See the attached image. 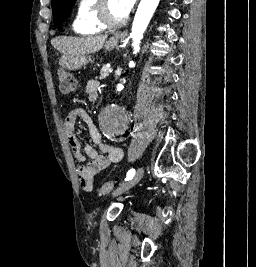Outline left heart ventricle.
Here are the masks:
<instances>
[{"mask_svg":"<svg viewBox=\"0 0 256 267\" xmlns=\"http://www.w3.org/2000/svg\"><path fill=\"white\" fill-rule=\"evenodd\" d=\"M109 22L113 26H117L121 20V16L114 1H111L108 9Z\"/></svg>","mask_w":256,"mask_h":267,"instance_id":"obj_1","label":"left heart ventricle"}]
</instances>
